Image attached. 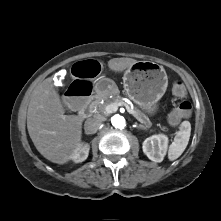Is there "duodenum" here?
Returning <instances> with one entry per match:
<instances>
[{
  "mask_svg": "<svg viewBox=\"0 0 221 221\" xmlns=\"http://www.w3.org/2000/svg\"><path fill=\"white\" fill-rule=\"evenodd\" d=\"M88 98H89V97H88ZM89 100H90V98H89ZM89 113H90L89 105H87L86 108H84V109H82V110H79V114H80V116H82V117L88 116Z\"/></svg>",
  "mask_w": 221,
  "mask_h": 221,
  "instance_id": "duodenum-1",
  "label": "duodenum"
}]
</instances>
